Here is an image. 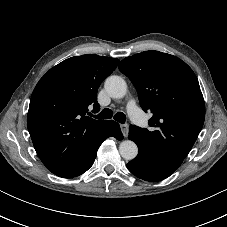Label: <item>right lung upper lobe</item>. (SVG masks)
<instances>
[{
    "label": "right lung upper lobe",
    "mask_w": 227,
    "mask_h": 227,
    "mask_svg": "<svg viewBox=\"0 0 227 227\" xmlns=\"http://www.w3.org/2000/svg\"><path fill=\"white\" fill-rule=\"evenodd\" d=\"M118 62L94 54L71 57L37 83L27 125L39 158L52 173L75 162L111 123L89 117L88 108L99 110L98 87Z\"/></svg>",
    "instance_id": "obj_1"
}]
</instances>
